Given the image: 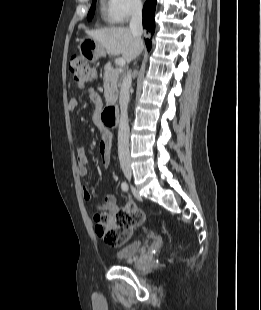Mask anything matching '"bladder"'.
Instances as JSON below:
<instances>
[{
	"label": "bladder",
	"instance_id": "bladder-1",
	"mask_svg": "<svg viewBox=\"0 0 261 310\" xmlns=\"http://www.w3.org/2000/svg\"><path fill=\"white\" fill-rule=\"evenodd\" d=\"M142 248L141 240H133L114 251V257L118 261L132 259Z\"/></svg>",
	"mask_w": 261,
	"mask_h": 310
}]
</instances>
